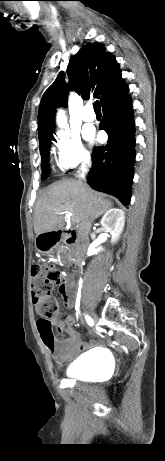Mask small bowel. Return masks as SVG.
<instances>
[{"instance_id":"c3829d8e","label":"small bowel","mask_w":165,"mask_h":461,"mask_svg":"<svg viewBox=\"0 0 165 461\" xmlns=\"http://www.w3.org/2000/svg\"><path fill=\"white\" fill-rule=\"evenodd\" d=\"M67 279L60 277L57 283V290L59 291L58 296L60 299H64V304L70 306L69 293L66 285ZM74 317L71 314H66L63 321H60L57 317L51 319L52 326L55 327L59 332H65L67 337L63 340L56 341L53 349L48 348V351L56 360H63L73 355L74 353L82 350H87L95 345V340H89L83 342L80 338V334L73 328Z\"/></svg>"}]
</instances>
